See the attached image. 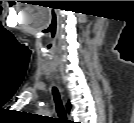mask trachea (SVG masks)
Segmentation results:
<instances>
[{
	"instance_id": "3493384b",
	"label": "trachea",
	"mask_w": 134,
	"mask_h": 123,
	"mask_svg": "<svg viewBox=\"0 0 134 123\" xmlns=\"http://www.w3.org/2000/svg\"><path fill=\"white\" fill-rule=\"evenodd\" d=\"M53 97L55 101L56 111L58 113V116L60 117L59 120H65L66 119L65 110L62 101L60 99L59 92L55 87L53 88Z\"/></svg>"
}]
</instances>
